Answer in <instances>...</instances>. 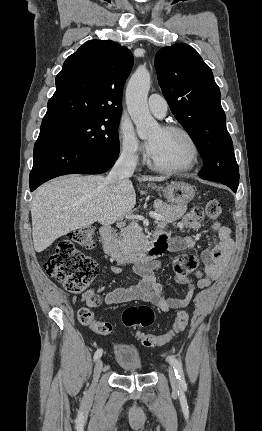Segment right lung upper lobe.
<instances>
[{"label":"right lung upper lobe","instance_id":"cb5924a9","mask_svg":"<svg viewBox=\"0 0 262 431\" xmlns=\"http://www.w3.org/2000/svg\"><path fill=\"white\" fill-rule=\"evenodd\" d=\"M131 51L109 40H90L64 62L42 125L88 117L120 116ZM41 125V126H42Z\"/></svg>","mask_w":262,"mask_h":431}]
</instances>
